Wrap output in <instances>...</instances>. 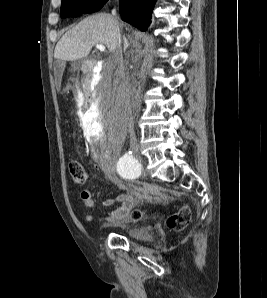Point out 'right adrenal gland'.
Returning a JSON list of instances; mask_svg holds the SVG:
<instances>
[{"mask_svg": "<svg viewBox=\"0 0 267 298\" xmlns=\"http://www.w3.org/2000/svg\"><path fill=\"white\" fill-rule=\"evenodd\" d=\"M123 41H124V51H126V49H127L128 46H129V42H128V40H127V38H126L125 35L123 36Z\"/></svg>", "mask_w": 267, "mask_h": 298, "instance_id": "obj_1", "label": "right adrenal gland"}]
</instances>
